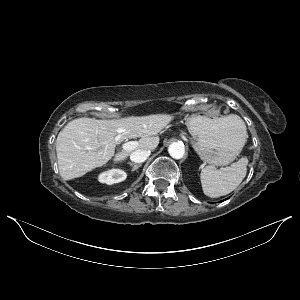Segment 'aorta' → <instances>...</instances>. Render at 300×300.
Returning a JSON list of instances; mask_svg holds the SVG:
<instances>
[{"instance_id": "aorta-1", "label": "aorta", "mask_w": 300, "mask_h": 300, "mask_svg": "<svg viewBox=\"0 0 300 300\" xmlns=\"http://www.w3.org/2000/svg\"><path fill=\"white\" fill-rule=\"evenodd\" d=\"M169 155L174 159H181L185 154L184 144L181 142H173L168 147Z\"/></svg>"}]
</instances>
